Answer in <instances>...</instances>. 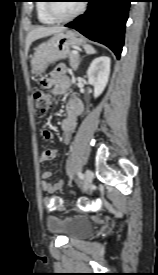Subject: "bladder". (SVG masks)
I'll return each mask as SVG.
<instances>
[{
    "instance_id": "31cf9c89",
    "label": "bladder",
    "mask_w": 158,
    "mask_h": 275,
    "mask_svg": "<svg viewBox=\"0 0 158 275\" xmlns=\"http://www.w3.org/2000/svg\"><path fill=\"white\" fill-rule=\"evenodd\" d=\"M47 228L51 233H59L68 239H80L88 236L92 223L85 217H66L49 215L46 217Z\"/></svg>"
}]
</instances>
